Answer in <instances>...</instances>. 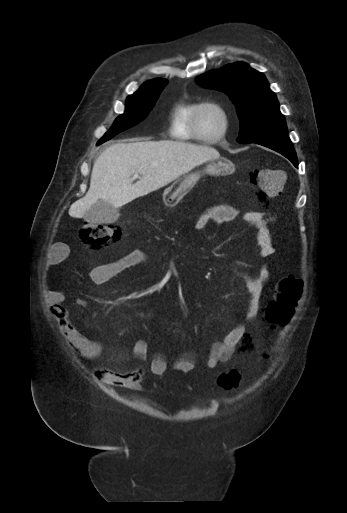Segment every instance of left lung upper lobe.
Masks as SVG:
<instances>
[{
  "instance_id": "obj_1",
  "label": "left lung upper lobe",
  "mask_w": 347,
  "mask_h": 513,
  "mask_svg": "<svg viewBox=\"0 0 347 513\" xmlns=\"http://www.w3.org/2000/svg\"><path fill=\"white\" fill-rule=\"evenodd\" d=\"M198 84L223 91L237 108L240 143L287 135L284 116L265 76L246 63L226 65L196 78Z\"/></svg>"
}]
</instances>
